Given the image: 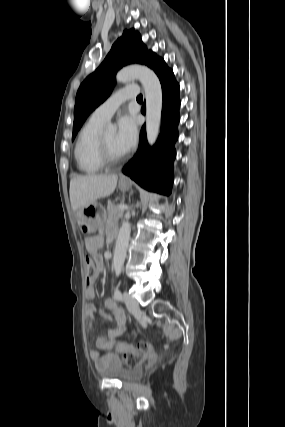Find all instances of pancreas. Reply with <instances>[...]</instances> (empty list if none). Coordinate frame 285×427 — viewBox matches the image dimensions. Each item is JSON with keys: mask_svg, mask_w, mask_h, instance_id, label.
Instances as JSON below:
<instances>
[{"mask_svg": "<svg viewBox=\"0 0 285 427\" xmlns=\"http://www.w3.org/2000/svg\"><path fill=\"white\" fill-rule=\"evenodd\" d=\"M123 216V210L117 208L113 203H108L107 206V218L105 219V224L108 225L112 222H116L119 218Z\"/></svg>", "mask_w": 285, "mask_h": 427, "instance_id": "1", "label": "pancreas"}]
</instances>
